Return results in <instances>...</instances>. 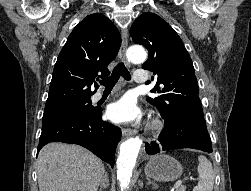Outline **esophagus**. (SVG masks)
Listing matches in <instances>:
<instances>
[{"label":"esophagus","instance_id":"1","mask_svg":"<svg viewBox=\"0 0 251 191\" xmlns=\"http://www.w3.org/2000/svg\"><path fill=\"white\" fill-rule=\"evenodd\" d=\"M122 45H121V48H120V57L122 58V60L127 64L129 65V63L127 62V59H126V50H127V47H128V31L127 30H122ZM133 134V130H131L130 128H123L122 129V136L123 137H128V136H131Z\"/></svg>","mask_w":251,"mask_h":191}]
</instances>
